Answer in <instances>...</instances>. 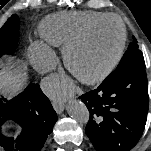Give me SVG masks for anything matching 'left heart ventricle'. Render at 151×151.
<instances>
[{"label":"left heart ventricle","mask_w":151,"mask_h":151,"mask_svg":"<svg viewBox=\"0 0 151 151\" xmlns=\"http://www.w3.org/2000/svg\"><path fill=\"white\" fill-rule=\"evenodd\" d=\"M120 35V28L114 21L99 25L74 51L72 60L76 71L82 76H90L104 69L116 55Z\"/></svg>","instance_id":"1"}]
</instances>
